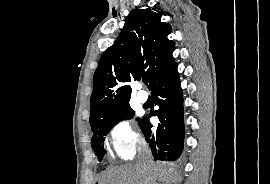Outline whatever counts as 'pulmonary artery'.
I'll return each mask as SVG.
<instances>
[{
	"mask_svg": "<svg viewBox=\"0 0 270 184\" xmlns=\"http://www.w3.org/2000/svg\"><path fill=\"white\" fill-rule=\"evenodd\" d=\"M137 99H138L139 102L144 103V102L147 101L148 95H147V93L144 92V91H139V92L137 93Z\"/></svg>",
	"mask_w": 270,
	"mask_h": 184,
	"instance_id": "obj_1",
	"label": "pulmonary artery"
}]
</instances>
